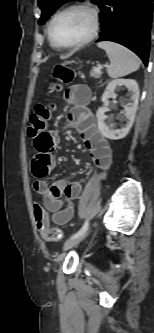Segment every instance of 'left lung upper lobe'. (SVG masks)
<instances>
[{
	"mask_svg": "<svg viewBox=\"0 0 154 333\" xmlns=\"http://www.w3.org/2000/svg\"><path fill=\"white\" fill-rule=\"evenodd\" d=\"M74 0H38V6L41 8L42 14L39 19V24L45 23L49 17L63 4ZM96 5H99L102 0H91Z\"/></svg>",
	"mask_w": 154,
	"mask_h": 333,
	"instance_id": "obj_1",
	"label": "left lung upper lobe"
}]
</instances>
